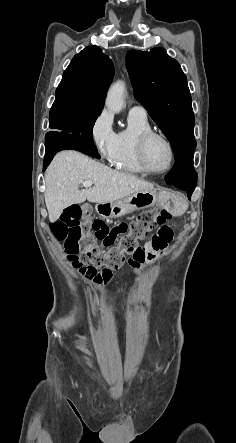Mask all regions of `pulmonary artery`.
Instances as JSON below:
<instances>
[{
	"mask_svg": "<svg viewBox=\"0 0 236 443\" xmlns=\"http://www.w3.org/2000/svg\"><path fill=\"white\" fill-rule=\"evenodd\" d=\"M130 115H134V116H139V117H143V118H147V110L144 106L142 105H134L130 111H129Z\"/></svg>",
	"mask_w": 236,
	"mask_h": 443,
	"instance_id": "1",
	"label": "pulmonary artery"
}]
</instances>
